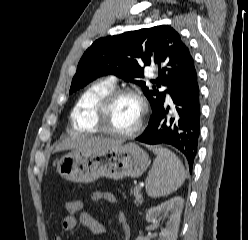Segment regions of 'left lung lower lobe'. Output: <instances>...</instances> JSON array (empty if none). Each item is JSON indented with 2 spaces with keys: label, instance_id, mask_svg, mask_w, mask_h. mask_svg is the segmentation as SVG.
Wrapping results in <instances>:
<instances>
[{
  "label": "left lung lower lobe",
  "instance_id": "1",
  "mask_svg": "<svg viewBox=\"0 0 248 240\" xmlns=\"http://www.w3.org/2000/svg\"><path fill=\"white\" fill-rule=\"evenodd\" d=\"M169 95L173 105L164 102L152 115L143 134L137 141L150 145L169 144L181 151L193 166L200 135V90L195 71L181 84L174 86ZM172 113H169V111Z\"/></svg>",
  "mask_w": 248,
  "mask_h": 240
}]
</instances>
